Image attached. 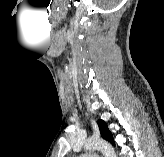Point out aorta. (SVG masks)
Masks as SVG:
<instances>
[{"instance_id":"762f6f07","label":"aorta","mask_w":164,"mask_h":157,"mask_svg":"<svg viewBox=\"0 0 164 157\" xmlns=\"http://www.w3.org/2000/svg\"><path fill=\"white\" fill-rule=\"evenodd\" d=\"M86 150H99L103 153L104 157H116L114 148L104 140L96 139L89 140L84 144Z\"/></svg>"}]
</instances>
